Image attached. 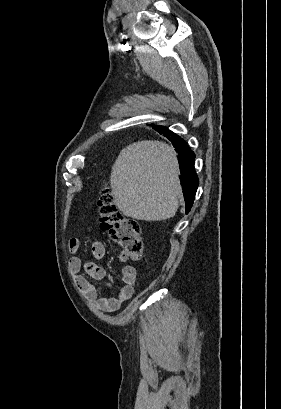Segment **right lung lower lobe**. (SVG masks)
Masks as SVG:
<instances>
[{
	"label": "right lung lower lobe",
	"mask_w": 281,
	"mask_h": 409,
	"mask_svg": "<svg viewBox=\"0 0 281 409\" xmlns=\"http://www.w3.org/2000/svg\"><path fill=\"white\" fill-rule=\"evenodd\" d=\"M159 133L167 137L178 152L179 166L181 177L183 180V194L186 204V213H188L193 205L196 190L198 187V177L194 169L195 154L189 149L182 138L169 131L168 129L157 130Z\"/></svg>",
	"instance_id": "1"
}]
</instances>
